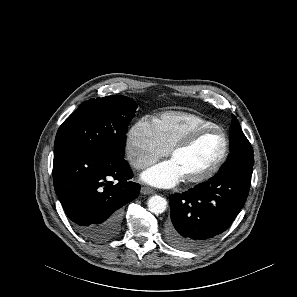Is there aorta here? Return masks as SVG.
Returning <instances> with one entry per match:
<instances>
[{
	"label": "aorta",
	"mask_w": 297,
	"mask_h": 297,
	"mask_svg": "<svg viewBox=\"0 0 297 297\" xmlns=\"http://www.w3.org/2000/svg\"><path fill=\"white\" fill-rule=\"evenodd\" d=\"M148 209L154 214H161L167 208V201L164 197L159 195H154L149 198L148 202Z\"/></svg>",
	"instance_id": "obj_1"
}]
</instances>
